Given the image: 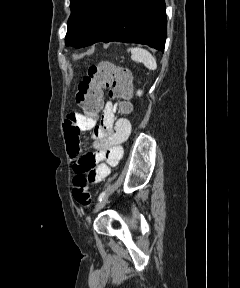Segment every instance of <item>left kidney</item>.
<instances>
[{
  "label": "left kidney",
  "instance_id": "left-kidney-1",
  "mask_svg": "<svg viewBox=\"0 0 240 288\" xmlns=\"http://www.w3.org/2000/svg\"><path fill=\"white\" fill-rule=\"evenodd\" d=\"M137 94L140 96V95L142 94V92H141V91H138Z\"/></svg>",
  "mask_w": 240,
  "mask_h": 288
}]
</instances>
